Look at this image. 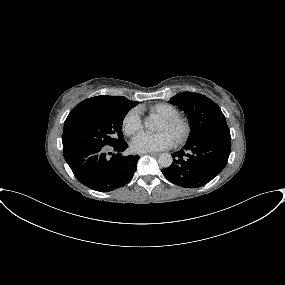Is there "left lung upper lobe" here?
<instances>
[{
  "label": "left lung upper lobe",
  "instance_id": "1",
  "mask_svg": "<svg viewBox=\"0 0 285 285\" xmlns=\"http://www.w3.org/2000/svg\"><path fill=\"white\" fill-rule=\"evenodd\" d=\"M169 102L188 115L191 129L189 140L209 133L230 135L226 118L220 107L206 96L193 92H181L172 97Z\"/></svg>",
  "mask_w": 285,
  "mask_h": 285
}]
</instances>
